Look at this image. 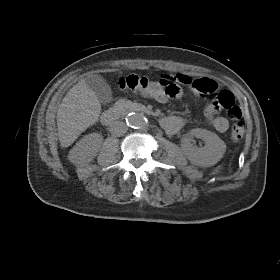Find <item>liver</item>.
I'll list each match as a JSON object with an SVG mask.
<instances>
[{"label": "liver", "mask_w": 280, "mask_h": 280, "mask_svg": "<svg viewBox=\"0 0 280 280\" xmlns=\"http://www.w3.org/2000/svg\"><path fill=\"white\" fill-rule=\"evenodd\" d=\"M101 113V104L95 92L82 79L63 98L57 111L58 136L62 147L70 146Z\"/></svg>", "instance_id": "liver-1"}]
</instances>
